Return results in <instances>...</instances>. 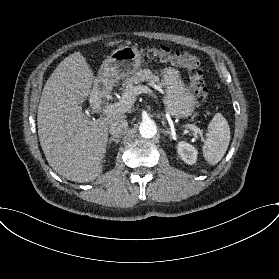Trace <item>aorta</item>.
<instances>
[{
	"mask_svg": "<svg viewBox=\"0 0 279 279\" xmlns=\"http://www.w3.org/2000/svg\"><path fill=\"white\" fill-rule=\"evenodd\" d=\"M139 132L143 138H152L157 133V126L154 121L150 119L144 120L139 126Z\"/></svg>",
	"mask_w": 279,
	"mask_h": 279,
	"instance_id": "762f6f07",
	"label": "aorta"
}]
</instances>
